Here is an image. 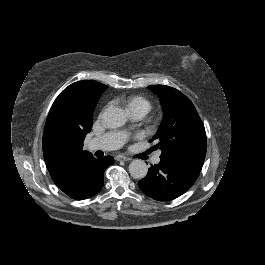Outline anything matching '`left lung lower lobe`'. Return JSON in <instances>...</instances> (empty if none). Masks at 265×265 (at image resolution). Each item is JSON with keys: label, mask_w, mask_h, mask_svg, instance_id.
<instances>
[{"label": "left lung lower lobe", "mask_w": 265, "mask_h": 265, "mask_svg": "<svg viewBox=\"0 0 265 265\" xmlns=\"http://www.w3.org/2000/svg\"><path fill=\"white\" fill-rule=\"evenodd\" d=\"M204 160L163 159L151 165L148 174L139 181L140 189L158 201L173 200L185 193L196 181Z\"/></svg>", "instance_id": "obj_1"}]
</instances>
